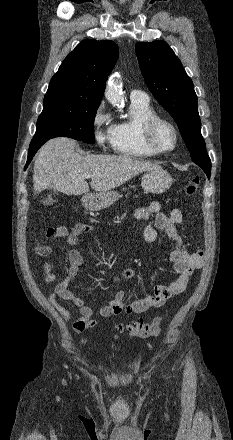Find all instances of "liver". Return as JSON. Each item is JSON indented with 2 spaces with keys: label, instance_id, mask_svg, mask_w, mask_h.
<instances>
[{
  "label": "liver",
  "instance_id": "6515ba94",
  "mask_svg": "<svg viewBox=\"0 0 233 440\" xmlns=\"http://www.w3.org/2000/svg\"><path fill=\"white\" fill-rule=\"evenodd\" d=\"M76 141L58 137L49 140L39 151L33 173L34 194L51 188L68 195L89 192L84 177L92 174L94 191L107 192L139 173L160 168L156 163L127 155H86L75 151Z\"/></svg>",
  "mask_w": 233,
  "mask_h": 440
}]
</instances>
